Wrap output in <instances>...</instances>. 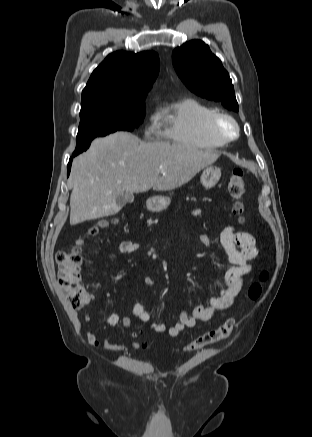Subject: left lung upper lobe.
Here are the masks:
<instances>
[{
    "mask_svg": "<svg viewBox=\"0 0 312 437\" xmlns=\"http://www.w3.org/2000/svg\"><path fill=\"white\" fill-rule=\"evenodd\" d=\"M172 62L188 89L238 112L232 80L220 59L203 41L192 40L177 47L172 53Z\"/></svg>",
    "mask_w": 312,
    "mask_h": 437,
    "instance_id": "5c2ea615",
    "label": "left lung upper lobe"
}]
</instances>
